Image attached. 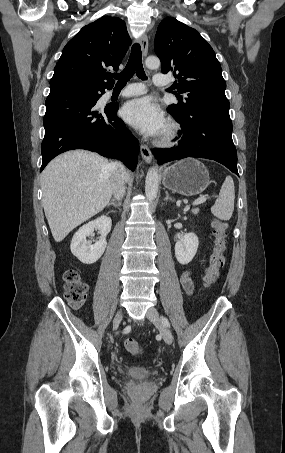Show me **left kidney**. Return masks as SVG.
<instances>
[{
    "mask_svg": "<svg viewBox=\"0 0 285 453\" xmlns=\"http://www.w3.org/2000/svg\"><path fill=\"white\" fill-rule=\"evenodd\" d=\"M199 246L198 237L194 233L184 234L175 244V256L177 261L186 265L192 261Z\"/></svg>",
    "mask_w": 285,
    "mask_h": 453,
    "instance_id": "obj_1",
    "label": "left kidney"
}]
</instances>
